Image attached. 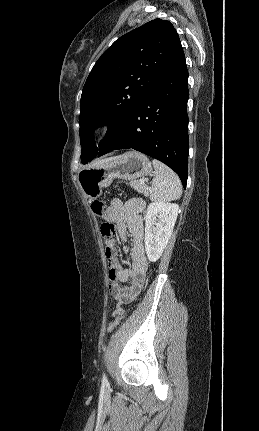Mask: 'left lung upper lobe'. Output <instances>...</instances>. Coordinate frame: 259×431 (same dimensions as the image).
Instances as JSON below:
<instances>
[{
    "label": "left lung upper lobe",
    "mask_w": 259,
    "mask_h": 431,
    "mask_svg": "<svg viewBox=\"0 0 259 431\" xmlns=\"http://www.w3.org/2000/svg\"><path fill=\"white\" fill-rule=\"evenodd\" d=\"M173 25L154 19L117 39L97 60L80 101L81 161L88 163L109 140L138 102L151 90L181 50ZM108 123L97 148L93 131Z\"/></svg>",
    "instance_id": "obj_1"
}]
</instances>
